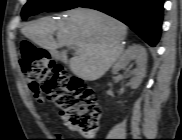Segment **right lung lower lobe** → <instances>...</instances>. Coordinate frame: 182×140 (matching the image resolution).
Returning a JSON list of instances; mask_svg holds the SVG:
<instances>
[{
    "instance_id": "1",
    "label": "right lung lower lobe",
    "mask_w": 182,
    "mask_h": 140,
    "mask_svg": "<svg viewBox=\"0 0 182 140\" xmlns=\"http://www.w3.org/2000/svg\"><path fill=\"white\" fill-rule=\"evenodd\" d=\"M163 4L164 0H86L79 7L96 9L115 17L155 47L162 29Z\"/></svg>"
}]
</instances>
